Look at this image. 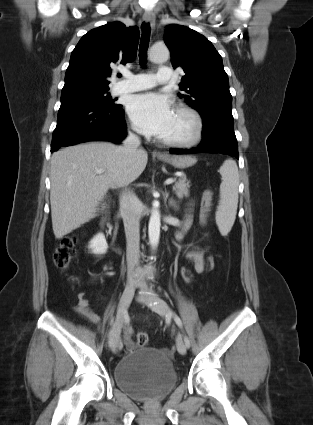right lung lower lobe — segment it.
<instances>
[{
    "instance_id": "obj_1",
    "label": "right lung lower lobe",
    "mask_w": 313,
    "mask_h": 425,
    "mask_svg": "<svg viewBox=\"0 0 313 425\" xmlns=\"http://www.w3.org/2000/svg\"><path fill=\"white\" fill-rule=\"evenodd\" d=\"M126 134L121 105L109 107L83 96L62 94L51 152L86 141L119 143Z\"/></svg>"
}]
</instances>
